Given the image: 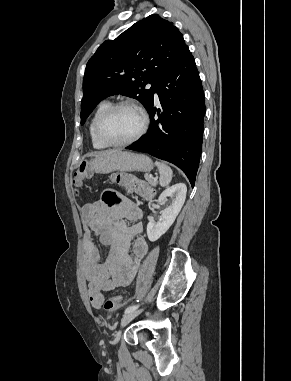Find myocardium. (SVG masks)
I'll return each instance as SVG.
<instances>
[{"label": "myocardium", "mask_w": 291, "mask_h": 381, "mask_svg": "<svg viewBox=\"0 0 291 381\" xmlns=\"http://www.w3.org/2000/svg\"><path fill=\"white\" fill-rule=\"evenodd\" d=\"M124 107L132 108L139 113V115L141 117L140 129L138 130V132L133 137H131L128 140L121 141V142L112 141L109 138H107L106 135L104 134L103 124H104L105 120L112 113H114L118 109L124 108ZM148 124H149V120H148V116H147V113L145 112V110L140 105H138L137 103H135L133 101L125 100V101H121V102H118L116 104H113L108 109H106L97 119L96 125H95V130H96L97 137L107 146L123 147V146H127V145L133 144L136 141H138L145 134V132L148 128Z\"/></svg>", "instance_id": "1"}]
</instances>
